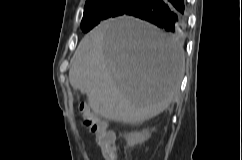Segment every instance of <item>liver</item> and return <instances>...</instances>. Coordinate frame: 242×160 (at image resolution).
Instances as JSON below:
<instances>
[{
    "mask_svg": "<svg viewBox=\"0 0 242 160\" xmlns=\"http://www.w3.org/2000/svg\"><path fill=\"white\" fill-rule=\"evenodd\" d=\"M184 50L177 39L138 19L103 21L80 41L69 81L94 113L136 124L162 113L179 93Z\"/></svg>",
    "mask_w": 242,
    "mask_h": 160,
    "instance_id": "6515ba94",
    "label": "liver"
}]
</instances>
